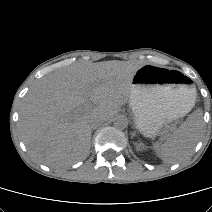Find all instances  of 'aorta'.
<instances>
[{"mask_svg": "<svg viewBox=\"0 0 212 212\" xmlns=\"http://www.w3.org/2000/svg\"><path fill=\"white\" fill-rule=\"evenodd\" d=\"M128 124L127 118L123 115H117L113 119V125L116 128H125Z\"/></svg>", "mask_w": 212, "mask_h": 212, "instance_id": "aorta-1", "label": "aorta"}]
</instances>
